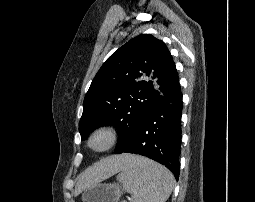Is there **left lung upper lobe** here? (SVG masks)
<instances>
[{
	"mask_svg": "<svg viewBox=\"0 0 255 202\" xmlns=\"http://www.w3.org/2000/svg\"><path fill=\"white\" fill-rule=\"evenodd\" d=\"M179 86L175 63L161 40L150 34L131 39L106 60L91 83L79 122L82 140L113 124L119 129V153L151 109Z\"/></svg>",
	"mask_w": 255,
	"mask_h": 202,
	"instance_id": "1",
	"label": "left lung upper lobe"
}]
</instances>
